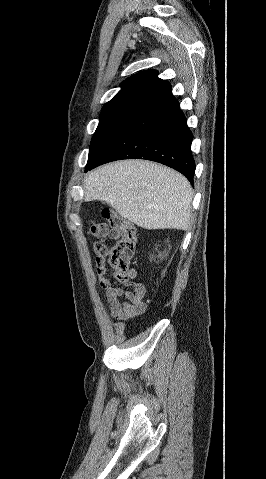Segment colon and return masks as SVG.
Segmentation results:
<instances>
[{"label":"colon","mask_w":266,"mask_h":479,"mask_svg":"<svg viewBox=\"0 0 266 479\" xmlns=\"http://www.w3.org/2000/svg\"><path fill=\"white\" fill-rule=\"evenodd\" d=\"M103 217L109 222L111 230L104 224H92L90 232L98 240L108 237L112 232L116 234V243L108 248L101 241L94 243V252L96 257L108 259V264L112 269L114 280L120 284H128L133 276L132 262L136 251L137 235L133 225L126 222L120 216L106 209L103 211Z\"/></svg>","instance_id":"1"}]
</instances>
